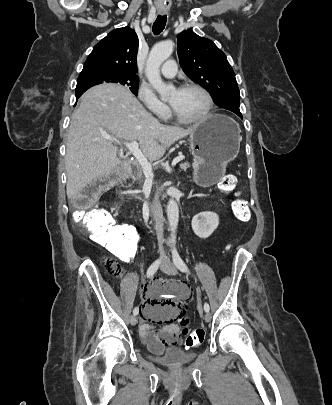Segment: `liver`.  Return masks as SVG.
Returning <instances> with one entry per match:
<instances>
[{
    "instance_id": "liver-1",
    "label": "liver",
    "mask_w": 332,
    "mask_h": 405,
    "mask_svg": "<svg viewBox=\"0 0 332 405\" xmlns=\"http://www.w3.org/2000/svg\"><path fill=\"white\" fill-rule=\"evenodd\" d=\"M161 124L129 90L104 83L90 88L80 98L66 143V193L74 198L85 186L110 174L120 163L114 142L105 134L125 141H138L143 155L159 160L177 140L194 132Z\"/></svg>"
}]
</instances>
